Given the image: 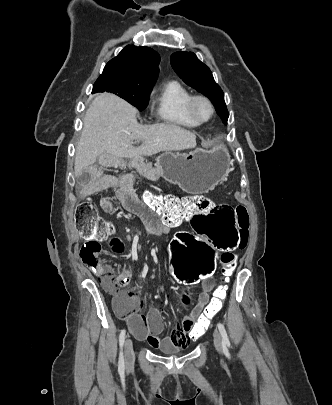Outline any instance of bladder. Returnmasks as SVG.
I'll use <instances>...</instances> for the list:
<instances>
[{"label": "bladder", "mask_w": 332, "mask_h": 405, "mask_svg": "<svg viewBox=\"0 0 332 405\" xmlns=\"http://www.w3.org/2000/svg\"><path fill=\"white\" fill-rule=\"evenodd\" d=\"M180 351H181V350L178 349V348H171V349H168V350L163 351V353L169 354V355H174V354L180 353Z\"/></svg>", "instance_id": "bladder-1"}]
</instances>
